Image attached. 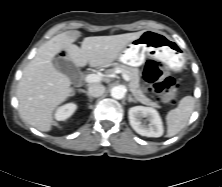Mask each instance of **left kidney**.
I'll return each instance as SVG.
<instances>
[{
	"mask_svg": "<svg viewBox=\"0 0 222 187\" xmlns=\"http://www.w3.org/2000/svg\"><path fill=\"white\" fill-rule=\"evenodd\" d=\"M131 127L140 135L146 137H161L163 123L157 110L151 107L134 106L128 111ZM146 118L148 124L143 121Z\"/></svg>",
	"mask_w": 222,
	"mask_h": 187,
	"instance_id": "1",
	"label": "left kidney"
}]
</instances>
